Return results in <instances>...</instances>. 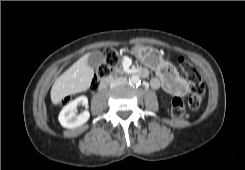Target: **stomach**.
I'll use <instances>...</instances> for the list:
<instances>
[{
	"label": "stomach",
	"mask_w": 245,
	"mask_h": 170,
	"mask_svg": "<svg viewBox=\"0 0 245 170\" xmlns=\"http://www.w3.org/2000/svg\"><path fill=\"white\" fill-rule=\"evenodd\" d=\"M136 58L145 66L157 69L163 65L160 53L152 47L137 45L133 48Z\"/></svg>",
	"instance_id": "stomach-1"
}]
</instances>
